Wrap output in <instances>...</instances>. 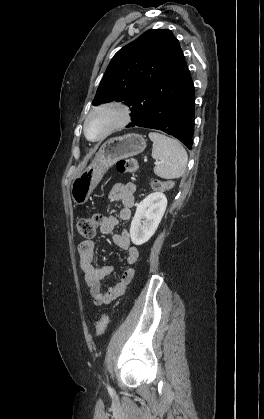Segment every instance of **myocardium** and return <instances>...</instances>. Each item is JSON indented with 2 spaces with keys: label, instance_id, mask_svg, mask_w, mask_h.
I'll list each match as a JSON object with an SVG mask.
<instances>
[{
  "label": "myocardium",
  "instance_id": "obj_1",
  "mask_svg": "<svg viewBox=\"0 0 264 419\" xmlns=\"http://www.w3.org/2000/svg\"><path fill=\"white\" fill-rule=\"evenodd\" d=\"M99 113H107L113 115L112 122L105 131L96 139H91L87 133L88 123L91 118ZM131 119V111L127 104L122 101L112 100L95 106L86 116L83 123V132L86 139L90 142H100L110 136L112 133L125 127Z\"/></svg>",
  "mask_w": 264,
  "mask_h": 419
}]
</instances>
